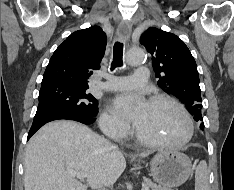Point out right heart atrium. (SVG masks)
I'll list each match as a JSON object with an SVG mask.
<instances>
[{
	"mask_svg": "<svg viewBox=\"0 0 234 190\" xmlns=\"http://www.w3.org/2000/svg\"><path fill=\"white\" fill-rule=\"evenodd\" d=\"M100 127L105 134L117 139L126 137L129 133V125L109 111H105L100 117Z\"/></svg>",
	"mask_w": 234,
	"mask_h": 190,
	"instance_id": "right-heart-atrium-1",
	"label": "right heart atrium"
}]
</instances>
